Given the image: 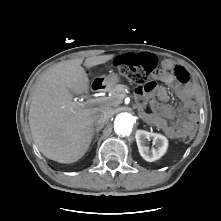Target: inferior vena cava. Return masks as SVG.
<instances>
[{"label": "inferior vena cava", "mask_w": 221, "mask_h": 221, "mask_svg": "<svg viewBox=\"0 0 221 221\" xmlns=\"http://www.w3.org/2000/svg\"><path fill=\"white\" fill-rule=\"evenodd\" d=\"M110 117L111 115L108 111L106 110L100 111L94 116V125L96 127H103L108 122Z\"/></svg>", "instance_id": "602c4592"}]
</instances>
